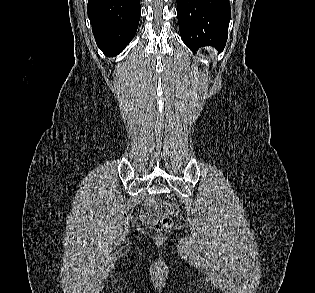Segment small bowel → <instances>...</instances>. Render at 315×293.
<instances>
[{"label": "small bowel", "mask_w": 315, "mask_h": 293, "mask_svg": "<svg viewBox=\"0 0 315 293\" xmlns=\"http://www.w3.org/2000/svg\"><path fill=\"white\" fill-rule=\"evenodd\" d=\"M142 220L145 222H149L151 220L150 212H144L142 214Z\"/></svg>", "instance_id": "1"}]
</instances>
